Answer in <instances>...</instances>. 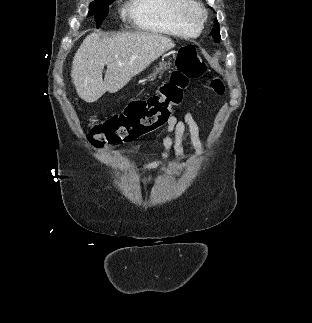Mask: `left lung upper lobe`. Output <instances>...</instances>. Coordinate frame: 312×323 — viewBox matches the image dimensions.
Wrapping results in <instances>:
<instances>
[{
	"label": "left lung upper lobe",
	"mask_w": 312,
	"mask_h": 323,
	"mask_svg": "<svg viewBox=\"0 0 312 323\" xmlns=\"http://www.w3.org/2000/svg\"><path fill=\"white\" fill-rule=\"evenodd\" d=\"M214 27H213V32H212V37L218 41L220 40L221 36H220V29H219V24L217 22V20L214 21Z\"/></svg>",
	"instance_id": "obj_1"
}]
</instances>
